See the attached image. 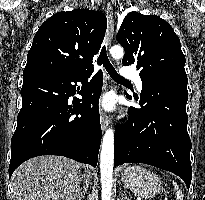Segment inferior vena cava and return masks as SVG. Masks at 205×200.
Returning <instances> with one entry per match:
<instances>
[{"mask_svg":"<svg viewBox=\"0 0 205 200\" xmlns=\"http://www.w3.org/2000/svg\"><path fill=\"white\" fill-rule=\"evenodd\" d=\"M87 177H88V175H87ZM89 183H90V182H89V179L86 178V179H85V185H86V187H88ZM84 187H85V186H84Z\"/></svg>","mask_w":205,"mask_h":200,"instance_id":"obj_1","label":"inferior vena cava"}]
</instances>
